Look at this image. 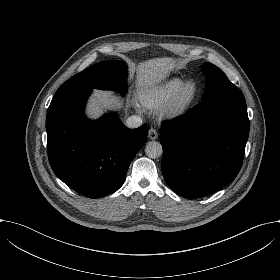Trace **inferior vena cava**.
<instances>
[{
	"label": "inferior vena cava",
	"instance_id": "inferior-vena-cava-1",
	"mask_svg": "<svg viewBox=\"0 0 280 280\" xmlns=\"http://www.w3.org/2000/svg\"><path fill=\"white\" fill-rule=\"evenodd\" d=\"M126 125L129 128H137L142 125V118L137 115H132L126 120Z\"/></svg>",
	"mask_w": 280,
	"mask_h": 280
}]
</instances>
